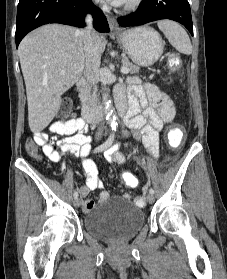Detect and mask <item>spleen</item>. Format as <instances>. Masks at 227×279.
<instances>
[{
  "label": "spleen",
  "mask_w": 227,
  "mask_h": 279,
  "mask_svg": "<svg viewBox=\"0 0 227 279\" xmlns=\"http://www.w3.org/2000/svg\"><path fill=\"white\" fill-rule=\"evenodd\" d=\"M158 27L177 51L187 55L192 53L189 36L178 23L170 20H162L158 22Z\"/></svg>",
  "instance_id": "obj_1"
}]
</instances>
